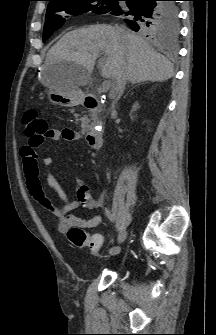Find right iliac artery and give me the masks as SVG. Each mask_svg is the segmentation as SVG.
<instances>
[{"mask_svg": "<svg viewBox=\"0 0 216 335\" xmlns=\"http://www.w3.org/2000/svg\"><path fill=\"white\" fill-rule=\"evenodd\" d=\"M105 213H106V216H107L111 221H114V215L111 213V211H109L108 209H105ZM119 252H120V247H118V246L112 247V248H110V250H109V253H110L112 256L117 255Z\"/></svg>", "mask_w": 216, "mask_h": 335, "instance_id": "1", "label": "right iliac artery"}]
</instances>
